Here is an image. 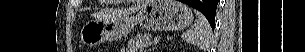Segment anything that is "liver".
Returning <instances> with one entry per match:
<instances>
[{
    "label": "liver",
    "instance_id": "liver-1",
    "mask_svg": "<svg viewBox=\"0 0 305 52\" xmlns=\"http://www.w3.org/2000/svg\"><path fill=\"white\" fill-rule=\"evenodd\" d=\"M149 2H150L149 0H146V1L142 2L141 5H136V6L128 8V9L108 11L107 13L103 14V16L106 17V20L114 19V18H121V17L127 16L131 13H134L135 11H138V10L146 7L149 4Z\"/></svg>",
    "mask_w": 305,
    "mask_h": 52
}]
</instances>
